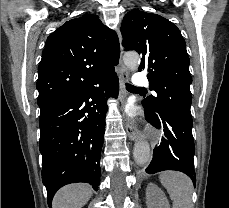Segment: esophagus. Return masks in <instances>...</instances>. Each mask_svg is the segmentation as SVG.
<instances>
[{"mask_svg":"<svg viewBox=\"0 0 229 208\" xmlns=\"http://www.w3.org/2000/svg\"><path fill=\"white\" fill-rule=\"evenodd\" d=\"M116 31H117V35H118V38H119L120 50H121V55H122V37H121V33H120L119 28H117ZM119 67H120V75H119L120 92H119V98H120L122 107H124L125 104H126V101H127V92L125 90L124 83L129 80V74H128L127 68L125 67L121 57H120V60H119ZM125 129H126V132H127V135L129 137V139L132 140V141L136 140V138H137V136L139 134V131H138V128L136 126V123L133 120H130L128 118L126 119Z\"/></svg>","mask_w":229,"mask_h":208,"instance_id":"34e87169","label":"esophagus"}]
</instances>
